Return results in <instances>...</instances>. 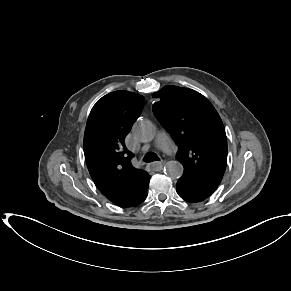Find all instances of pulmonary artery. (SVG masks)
<instances>
[{
    "label": "pulmonary artery",
    "instance_id": "obj_1",
    "mask_svg": "<svg viewBox=\"0 0 291 291\" xmlns=\"http://www.w3.org/2000/svg\"><path fill=\"white\" fill-rule=\"evenodd\" d=\"M156 146L162 150L163 152L167 154L174 153L176 150V147L168 134L164 131H161L156 139Z\"/></svg>",
    "mask_w": 291,
    "mask_h": 291
}]
</instances>
